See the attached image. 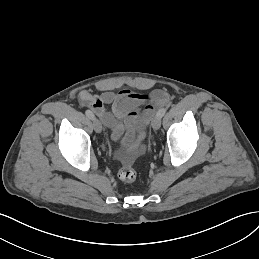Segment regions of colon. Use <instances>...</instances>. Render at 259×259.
<instances>
[{"instance_id": "obj_1", "label": "colon", "mask_w": 259, "mask_h": 259, "mask_svg": "<svg viewBox=\"0 0 259 259\" xmlns=\"http://www.w3.org/2000/svg\"><path fill=\"white\" fill-rule=\"evenodd\" d=\"M118 177L123 182H133L136 179V171L131 166H124L120 169Z\"/></svg>"}]
</instances>
